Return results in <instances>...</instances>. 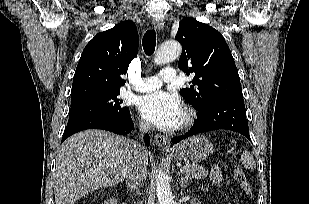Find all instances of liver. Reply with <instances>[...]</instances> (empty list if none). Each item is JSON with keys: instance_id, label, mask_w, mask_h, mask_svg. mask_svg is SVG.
<instances>
[{"instance_id": "1", "label": "liver", "mask_w": 309, "mask_h": 204, "mask_svg": "<svg viewBox=\"0 0 309 204\" xmlns=\"http://www.w3.org/2000/svg\"><path fill=\"white\" fill-rule=\"evenodd\" d=\"M132 155L131 140L107 131L71 136L57 150L55 203L74 204L90 192L117 185L125 178Z\"/></svg>"}]
</instances>
